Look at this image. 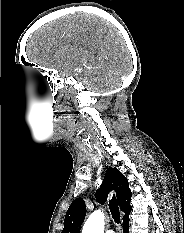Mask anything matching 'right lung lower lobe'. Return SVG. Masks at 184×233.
Listing matches in <instances>:
<instances>
[{"label": "right lung lower lobe", "mask_w": 184, "mask_h": 233, "mask_svg": "<svg viewBox=\"0 0 184 233\" xmlns=\"http://www.w3.org/2000/svg\"><path fill=\"white\" fill-rule=\"evenodd\" d=\"M123 233H128L129 230V218L123 220Z\"/></svg>", "instance_id": "98d812e1"}]
</instances>
